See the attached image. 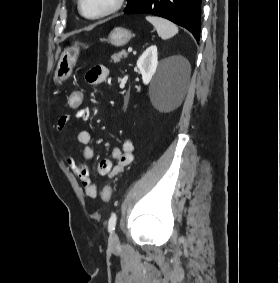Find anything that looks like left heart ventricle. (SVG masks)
<instances>
[{"instance_id":"left-heart-ventricle-1","label":"left heart ventricle","mask_w":280,"mask_h":283,"mask_svg":"<svg viewBox=\"0 0 280 283\" xmlns=\"http://www.w3.org/2000/svg\"><path fill=\"white\" fill-rule=\"evenodd\" d=\"M115 0H83V9L88 15H97L110 8Z\"/></svg>"}]
</instances>
